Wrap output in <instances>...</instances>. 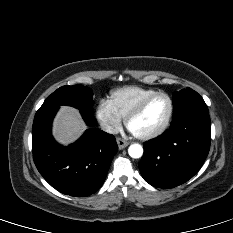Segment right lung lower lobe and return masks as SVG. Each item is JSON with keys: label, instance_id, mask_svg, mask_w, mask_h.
<instances>
[{"label": "right lung lower lobe", "instance_id": "1", "mask_svg": "<svg viewBox=\"0 0 233 233\" xmlns=\"http://www.w3.org/2000/svg\"><path fill=\"white\" fill-rule=\"evenodd\" d=\"M59 107L38 110L32 128L33 159L44 179L59 192L86 197L104 183L118 150L116 139L97 128L88 129L68 147L55 142L52 120ZM89 126L96 124L92 113L80 111Z\"/></svg>", "mask_w": 233, "mask_h": 233}]
</instances>
